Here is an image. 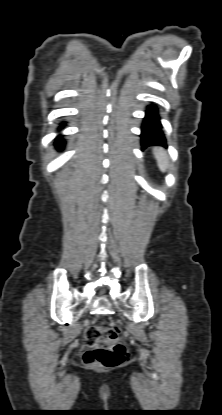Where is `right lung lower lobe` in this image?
<instances>
[{
	"instance_id": "1",
	"label": "right lung lower lobe",
	"mask_w": 222,
	"mask_h": 415,
	"mask_svg": "<svg viewBox=\"0 0 222 415\" xmlns=\"http://www.w3.org/2000/svg\"><path fill=\"white\" fill-rule=\"evenodd\" d=\"M64 124H61L63 126ZM58 149H61L64 146V141L61 139V136L57 137V142L55 143Z\"/></svg>"
}]
</instances>
